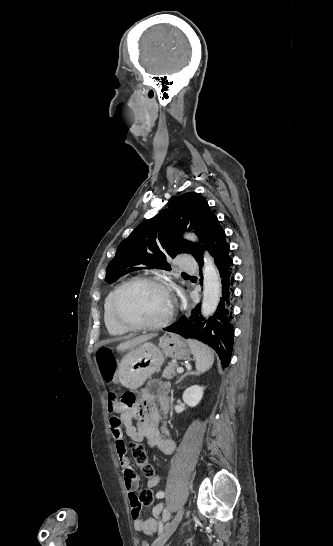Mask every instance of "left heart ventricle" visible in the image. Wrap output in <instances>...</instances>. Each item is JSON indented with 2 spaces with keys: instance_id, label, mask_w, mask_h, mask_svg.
<instances>
[{
  "instance_id": "1",
  "label": "left heart ventricle",
  "mask_w": 333,
  "mask_h": 546,
  "mask_svg": "<svg viewBox=\"0 0 333 546\" xmlns=\"http://www.w3.org/2000/svg\"><path fill=\"white\" fill-rule=\"evenodd\" d=\"M171 301L160 287L148 283H136L127 287L120 298L121 315L134 323H155L165 318Z\"/></svg>"
}]
</instances>
